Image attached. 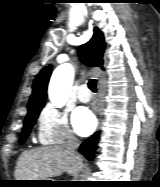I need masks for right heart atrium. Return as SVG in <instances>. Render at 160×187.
I'll return each instance as SVG.
<instances>
[{
  "instance_id": "right-heart-atrium-1",
  "label": "right heart atrium",
  "mask_w": 160,
  "mask_h": 187,
  "mask_svg": "<svg viewBox=\"0 0 160 187\" xmlns=\"http://www.w3.org/2000/svg\"><path fill=\"white\" fill-rule=\"evenodd\" d=\"M38 136L43 145L74 146L78 143L67 115L53 106H46L40 112Z\"/></svg>"
}]
</instances>
